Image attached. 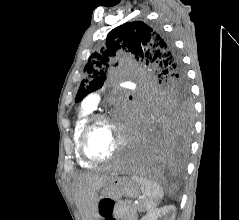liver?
Masks as SVG:
<instances>
[{
    "label": "liver",
    "instance_id": "1",
    "mask_svg": "<svg viewBox=\"0 0 239 220\" xmlns=\"http://www.w3.org/2000/svg\"><path fill=\"white\" fill-rule=\"evenodd\" d=\"M115 170H118L116 166ZM107 174H86L77 178L74 183V199L83 220H93L97 211V191L112 178Z\"/></svg>",
    "mask_w": 239,
    "mask_h": 220
}]
</instances>
